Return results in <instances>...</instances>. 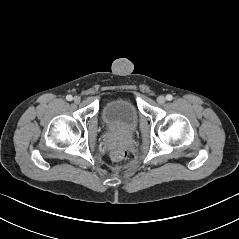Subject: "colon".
<instances>
[{"instance_id":"colon-1","label":"colon","mask_w":239,"mask_h":239,"mask_svg":"<svg viewBox=\"0 0 239 239\" xmlns=\"http://www.w3.org/2000/svg\"><path fill=\"white\" fill-rule=\"evenodd\" d=\"M127 156H128V152L124 148H117L111 154L112 159L116 162H121L126 160Z\"/></svg>"}]
</instances>
